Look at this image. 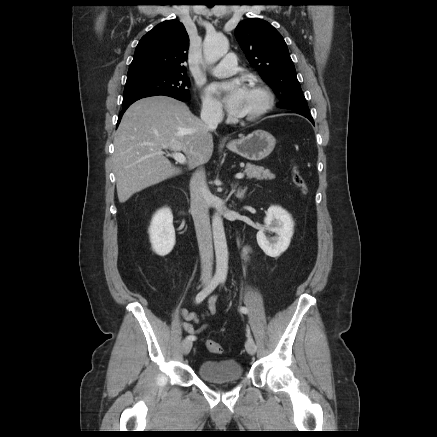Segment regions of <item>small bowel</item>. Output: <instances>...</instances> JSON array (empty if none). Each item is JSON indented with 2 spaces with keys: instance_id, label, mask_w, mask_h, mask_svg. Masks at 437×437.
I'll list each match as a JSON object with an SVG mask.
<instances>
[{
  "instance_id": "obj_1",
  "label": "small bowel",
  "mask_w": 437,
  "mask_h": 437,
  "mask_svg": "<svg viewBox=\"0 0 437 437\" xmlns=\"http://www.w3.org/2000/svg\"><path fill=\"white\" fill-rule=\"evenodd\" d=\"M249 254H250V248L249 247H245L244 248V255L246 257H248ZM216 301H217V297L216 296H212L209 299L208 309H207V311L201 317L198 316L194 312L188 311L187 309H181L180 313H181V316L184 319V321L182 323L183 329L187 333L192 335V336H194V335L202 332L203 330H205L207 328V325H202L199 328H196L195 325L199 324L204 317L215 315V313H216Z\"/></svg>"
}]
</instances>
